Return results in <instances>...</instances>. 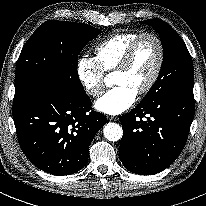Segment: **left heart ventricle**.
<instances>
[{
    "label": "left heart ventricle",
    "instance_id": "obj_1",
    "mask_svg": "<svg viewBox=\"0 0 206 206\" xmlns=\"http://www.w3.org/2000/svg\"><path fill=\"white\" fill-rule=\"evenodd\" d=\"M157 61L158 47L156 42L150 37L143 38L128 70L114 74V83L127 86L137 93L151 78Z\"/></svg>",
    "mask_w": 206,
    "mask_h": 206
}]
</instances>
